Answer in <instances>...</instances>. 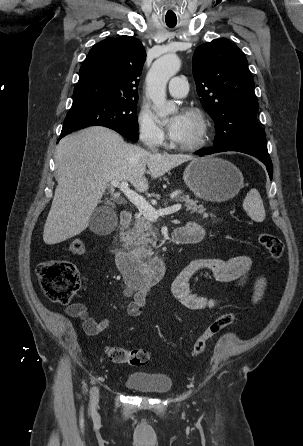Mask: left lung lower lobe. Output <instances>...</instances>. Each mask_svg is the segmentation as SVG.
<instances>
[{
  "label": "left lung lower lobe",
  "instance_id": "0a47b994",
  "mask_svg": "<svg viewBox=\"0 0 303 446\" xmlns=\"http://www.w3.org/2000/svg\"><path fill=\"white\" fill-rule=\"evenodd\" d=\"M225 151H238V152H242V153H246L249 154L251 156L256 157L257 159H259L261 162H263L266 165L267 171L269 173L270 179H272L273 176V168H272V162L271 159L269 157V155H263L260 153H256L253 151H249V150H244V149H239V148H227V149H210V150H199L196 152V154L203 156L206 154H213V153H218V152H225Z\"/></svg>",
  "mask_w": 303,
  "mask_h": 446
}]
</instances>
